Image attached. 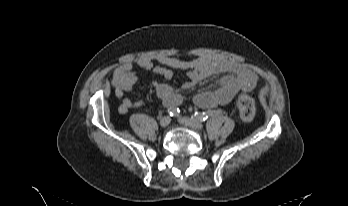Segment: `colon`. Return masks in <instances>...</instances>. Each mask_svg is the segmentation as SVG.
<instances>
[{
    "instance_id": "5ec220e1",
    "label": "colon",
    "mask_w": 348,
    "mask_h": 206,
    "mask_svg": "<svg viewBox=\"0 0 348 206\" xmlns=\"http://www.w3.org/2000/svg\"><path fill=\"white\" fill-rule=\"evenodd\" d=\"M236 105L242 120L250 122L254 117V104L252 99L248 95L241 93L236 99Z\"/></svg>"
}]
</instances>
